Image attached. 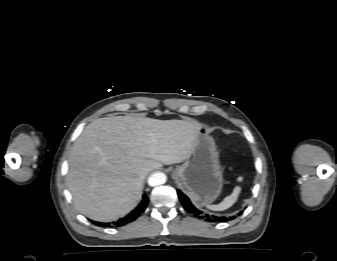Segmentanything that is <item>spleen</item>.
<instances>
[{"label":"spleen","mask_w":337,"mask_h":261,"mask_svg":"<svg viewBox=\"0 0 337 261\" xmlns=\"http://www.w3.org/2000/svg\"><path fill=\"white\" fill-rule=\"evenodd\" d=\"M243 178L239 177L238 181H242ZM241 191V188L239 186H236L232 192L231 195L225 197L222 202L216 205H208L207 207L214 211H223L231 207L237 200L239 193Z\"/></svg>","instance_id":"3e777b00"}]
</instances>
